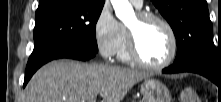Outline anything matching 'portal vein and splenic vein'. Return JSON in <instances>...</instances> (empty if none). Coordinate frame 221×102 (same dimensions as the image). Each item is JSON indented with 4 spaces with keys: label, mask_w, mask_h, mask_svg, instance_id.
Segmentation results:
<instances>
[{
    "label": "portal vein and splenic vein",
    "mask_w": 221,
    "mask_h": 102,
    "mask_svg": "<svg viewBox=\"0 0 221 102\" xmlns=\"http://www.w3.org/2000/svg\"><path fill=\"white\" fill-rule=\"evenodd\" d=\"M91 102H95V100H91Z\"/></svg>",
    "instance_id": "obj_1"
}]
</instances>
